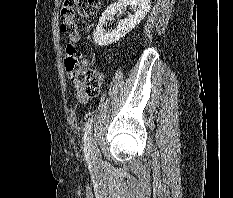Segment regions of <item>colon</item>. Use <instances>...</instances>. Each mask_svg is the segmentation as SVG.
I'll use <instances>...</instances> for the list:
<instances>
[{
    "mask_svg": "<svg viewBox=\"0 0 233 198\" xmlns=\"http://www.w3.org/2000/svg\"><path fill=\"white\" fill-rule=\"evenodd\" d=\"M99 6V0H64L61 9V31L67 34L72 41H77L79 23L76 16L88 19L96 14ZM66 51L65 68L70 81L79 91L87 95L97 94L104 80L103 72L82 65L80 56L72 44L67 46Z\"/></svg>",
    "mask_w": 233,
    "mask_h": 198,
    "instance_id": "colon-1",
    "label": "colon"
}]
</instances>
